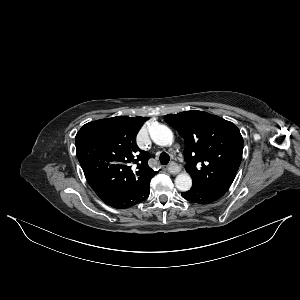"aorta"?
<instances>
[{"mask_svg": "<svg viewBox=\"0 0 300 300\" xmlns=\"http://www.w3.org/2000/svg\"><path fill=\"white\" fill-rule=\"evenodd\" d=\"M150 137L160 146H168L173 142V133L165 125L156 124L150 129ZM175 186L180 191H188L192 186V179L188 173H181L175 178Z\"/></svg>", "mask_w": 300, "mask_h": 300, "instance_id": "obj_1", "label": "aorta"}]
</instances>
